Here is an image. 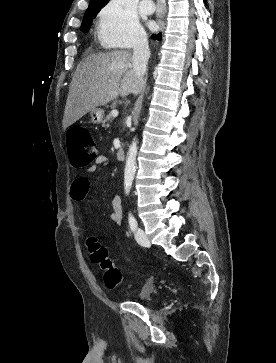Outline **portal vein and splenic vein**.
I'll return each instance as SVG.
<instances>
[{
  "mask_svg": "<svg viewBox=\"0 0 276 363\" xmlns=\"http://www.w3.org/2000/svg\"><path fill=\"white\" fill-rule=\"evenodd\" d=\"M118 114H119V112H118L117 110H113V111L111 112V115H112L113 117H117V116H118Z\"/></svg>",
  "mask_w": 276,
  "mask_h": 363,
  "instance_id": "portal-vein-and-splenic-vein-1",
  "label": "portal vein and splenic vein"
}]
</instances>
